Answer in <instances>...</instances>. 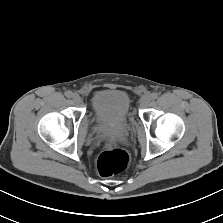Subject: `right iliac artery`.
<instances>
[{"label":"right iliac artery","instance_id":"82829eb1","mask_svg":"<svg viewBox=\"0 0 223 223\" xmlns=\"http://www.w3.org/2000/svg\"><path fill=\"white\" fill-rule=\"evenodd\" d=\"M72 95H73V93H72L71 91H66V92H65V96H66L67 98H71Z\"/></svg>","mask_w":223,"mask_h":223}]
</instances>
